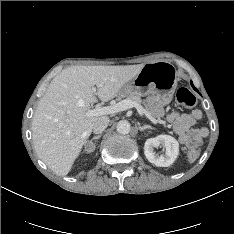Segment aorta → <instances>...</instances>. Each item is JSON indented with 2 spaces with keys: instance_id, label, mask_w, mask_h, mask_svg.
<instances>
[{
  "instance_id": "aorta-1",
  "label": "aorta",
  "mask_w": 234,
  "mask_h": 234,
  "mask_svg": "<svg viewBox=\"0 0 234 234\" xmlns=\"http://www.w3.org/2000/svg\"><path fill=\"white\" fill-rule=\"evenodd\" d=\"M117 131L120 134H128L131 129V125L127 120H121L117 123Z\"/></svg>"
}]
</instances>
